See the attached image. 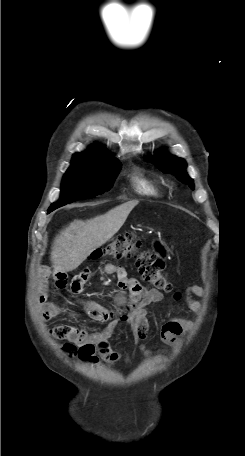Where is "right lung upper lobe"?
<instances>
[{
	"label": "right lung upper lobe",
	"instance_id": "right-lung-upper-lobe-1",
	"mask_svg": "<svg viewBox=\"0 0 245 456\" xmlns=\"http://www.w3.org/2000/svg\"><path fill=\"white\" fill-rule=\"evenodd\" d=\"M112 160L115 159L108 151L102 149L100 146H94L85 152L74 154L71 164H100Z\"/></svg>",
	"mask_w": 245,
	"mask_h": 456
}]
</instances>
